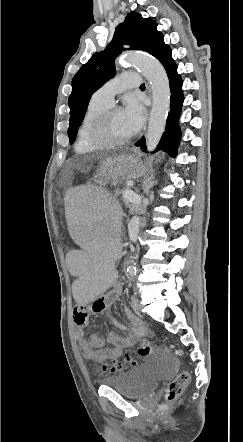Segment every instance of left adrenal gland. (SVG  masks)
<instances>
[{"instance_id": "1", "label": "left adrenal gland", "mask_w": 243, "mask_h": 442, "mask_svg": "<svg viewBox=\"0 0 243 442\" xmlns=\"http://www.w3.org/2000/svg\"><path fill=\"white\" fill-rule=\"evenodd\" d=\"M155 181H153V176L151 175L148 179H147V187H151L154 184Z\"/></svg>"}]
</instances>
